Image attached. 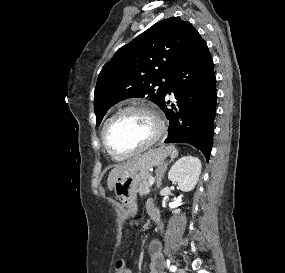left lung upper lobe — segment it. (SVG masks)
Returning <instances> with one entry per match:
<instances>
[{
    "label": "left lung upper lobe",
    "mask_w": 285,
    "mask_h": 273,
    "mask_svg": "<svg viewBox=\"0 0 285 273\" xmlns=\"http://www.w3.org/2000/svg\"><path fill=\"white\" fill-rule=\"evenodd\" d=\"M194 30L188 21L171 17L122 46L98 76L96 125L110 107L127 98L146 97L160 106Z\"/></svg>",
    "instance_id": "1"
}]
</instances>
